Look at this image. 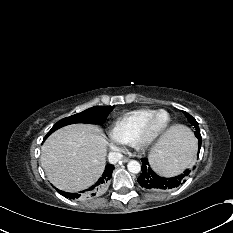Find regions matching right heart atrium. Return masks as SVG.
Returning a JSON list of instances; mask_svg holds the SVG:
<instances>
[{
  "label": "right heart atrium",
  "instance_id": "obj_1",
  "mask_svg": "<svg viewBox=\"0 0 233 233\" xmlns=\"http://www.w3.org/2000/svg\"><path fill=\"white\" fill-rule=\"evenodd\" d=\"M110 147L114 150H117V146L114 143H110Z\"/></svg>",
  "mask_w": 233,
  "mask_h": 233
}]
</instances>
